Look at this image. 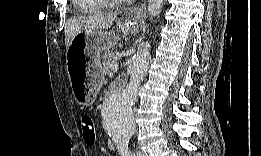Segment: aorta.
<instances>
[{
	"mask_svg": "<svg viewBox=\"0 0 261 156\" xmlns=\"http://www.w3.org/2000/svg\"><path fill=\"white\" fill-rule=\"evenodd\" d=\"M163 0H149L148 12L151 17L159 15ZM151 45L143 43L133 57L129 83L119 94L109 96L102 105V126L107 135L115 142H127L135 132L133 104L141 82L150 64Z\"/></svg>",
	"mask_w": 261,
	"mask_h": 156,
	"instance_id": "762f6f07",
	"label": "aorta"
}]
</instances>
